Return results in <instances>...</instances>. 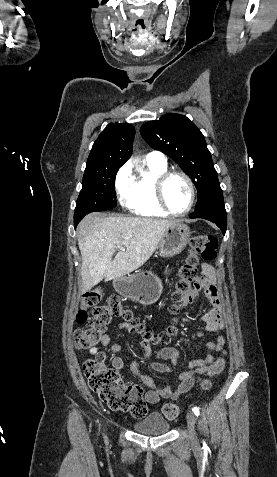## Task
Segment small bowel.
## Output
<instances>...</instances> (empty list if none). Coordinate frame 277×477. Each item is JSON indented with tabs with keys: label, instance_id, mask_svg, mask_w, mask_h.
I'll return each mask as SVG.
<instances>
[{
	"label": "small bowel",
	"instance_id": "small-bowel-1",
	"mask_svg": "<svg viewBox=\"0 0 277 477\" xmlns=\"http://www.w3.org/2000/svg\"><path fill=\"white\" fill-rule=\"evenodd\" d=\"M167 273H169V271H167ZM202 273L203 276L200 279L199 287L184 305L186 306L193 304L196 301L198 292L202 290L211 305V307L202 316V322L207 333H218L224 328V316L222 300L217 288V273L214 267L208 263L202 264ZM119 327L131 331V327L128 323H122L119 325ZM206 332H196L192 335V337H205L207 335ZM110 343V336L105 334L102 337L101 344L107 347L110 345ZM224 344V337L221 335H216L214 340L208 342L206 345L208 350L207 355L202 359L190 361L188 363L189 370L181 373L176 372L173 367L165 363L159 361L153 362L151 364L153 370L161 373H174L176 379L179 381L175 388H171L170 386L158 387L150 376L140 372L138 361H134L131 364V371L138 376L141 381L149 388L145 394V399L148 403L156 404L161 399L175 400L193 387L197 374H204L208 372L214 360V354L219 352L223 348ZM141 346L145 351L144 358L148 359L151 356V347L149 342L144 340L141 343ZM110 349L112 352V367L117 373H121L124 368V361L118 355L121 350V346L119 344H113L111 345ZM89 352L91 355L95 356V358L105 359V354L96 346L91 347ZM181 356L182 352L174 347L162 348L157 352L156 355L158 360H170L173 364H176L180 360Z\"/></svg>",
	"mask_w": 277,
	"mask_h": 477
}]
</instances>
